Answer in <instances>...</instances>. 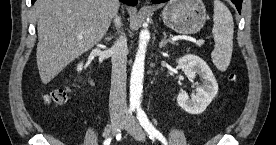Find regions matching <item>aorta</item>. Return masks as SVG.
I'll list each match as a JSON object with an SVG mask.
<instances>
[{
  "instance_id": "762f6f07",
  "label": "aorta",
  "mask_w": 276,
  "mask_h": 145,
  "mask_svg": "<svg viewBox=\"0 0 276 145\" xmlns=\"http://www.w3.org/2000/svg\"><path fill=\"white\" fill-rule=\"evenodd\" d=\"M149 39V31L147 29L142 30L140 32L138 51L136 53L130 78V105L133 107L139 106L141 103L145 53Z\"/></svg>"
}]
</instances>
